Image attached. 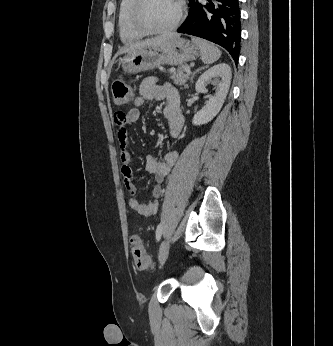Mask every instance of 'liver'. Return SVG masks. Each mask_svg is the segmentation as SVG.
Here are the masks:
<instances>
[{"label":"liver","mask_w":333,"mask_h":346,"mask_svg":"<svg viewBox=\"0 0 333 346\" xmlns=\"http://www.w3.org/2000/svg\"><path fill=\"white\" fill-rule=\"evenodd\" d=\"M179 37H180L179 34L170 33L167 35H162L159 37L146 39L145 41L136 42V43H133V44H130V45L124 47L123 49H120L117 54L120 55V54L128 53V52L136 50V49H140V48H144V47H148V46H153V45H159V44L165 43L166 41H169L171 39H176Z\"/></svg>","instance_id":"6515ba94"}]
</instances>
